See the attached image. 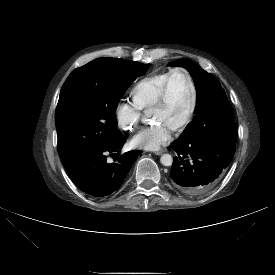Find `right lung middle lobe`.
<instances>
[{"mask_svg":"<svg viewBox=\"0 0 275 275\" xmlns=\"http://www.w3.org/2000/svg\"><path fill=\"white\" fill-rule=\"evenodd\" d=\"M149 64L98 58L75 69L62 86L56 109L58 152L62 159L99 149L122 135L117 130L118 101Z\"/></svg>","mask_w":275,"mask_h":275,"instance_id":"1","label":"right lung middle lobe"}]
</instances>
